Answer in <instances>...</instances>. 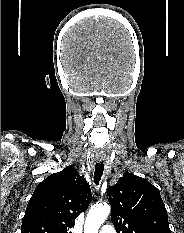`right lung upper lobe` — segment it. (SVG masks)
<instances>
[{
    "instance_id": "cb5924a9",
    "label": "right lung upper lobe",
    "mask_w": 184,
    "mask_h": 233,
    "mask_svg": "<svg viewBox=\"0 0 184 233\" xmlns=\"http://www.w3.org/2000/svg\"><path fill=\"white\" fill-rule=\"evenodd\" d=\"M91 189L69 166L40 182L30 198L21 233H71L77 216L91 202Z\"/></svg>"
}]
</instances>
